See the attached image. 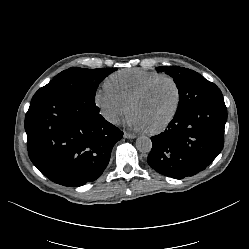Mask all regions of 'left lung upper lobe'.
I'll use <instances>...</instances> for the list:
<instances>
[{"label":"left lung upper lobe","instance_id":"1","mask_svg":"<svg viewBox=\"0 0 249 249\" xmlns=\"http://www.w3.org/2000/svg\"><path fill=\"white\" fill-rule=\"evenodd\" d=\"M158 72H166L174 78L179 92V104L175 115H181L194 106L223 101L220 89L199 73L178 66L157 67Z\"/></svg>","mask_w":249,"mask_h":249}]
</instances>
